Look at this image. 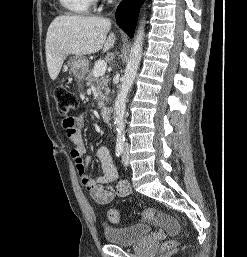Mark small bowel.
Segmentation results:
<instances>
[{
	"mask_svg": "<svg viewBox=\"0 0 247 257\" xmlns=\"http://www.w3.org/2000/svg\"><path fill=\"white\" fill-rule=\"evenodd\" d=\"M84 123L85 117L83 114L72 117L70 124L63 123L66 136L73 146L70 155L83 186L90 192L93 199L102 205L109 204L117 196L124 197L129 195L131 187L127 181L122 180L112 185L118 179V170L110 150L105 146L99 147L96 151V157L101 163L103 174L96 179L88 176L86 168L90 158H84L86 147L81 135ZM154 221L163 226L169 233H174L178 230V224L164 213H158Z\"/></svg>",
	"mask_w": 247,
	"mask_h": 257,
	"instance_id": "1",
	"label": "small bowel"
}]
</instances>
